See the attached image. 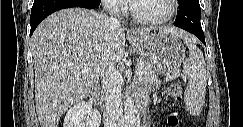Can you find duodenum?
Returning a JSON list of instances; mask_svg holds the SVG:
<instances>
[{
  "mask_svg": "<svg viewBox=\"0 0 243 127\" xmlns=\"http://www.w3.org/2000/svg\"><path fill=\"white\" fill-rule=\"evenodd\" d=\"M89 101L92 104H99L101 102V96L99 92H95L93 93L90 97H89ZM147 102V98L145 95L140 94L138 99H137V105L139 108L140 112H144L145 110V105Z\"/></svg>",
  "mask_w": 243,
  "mask_h": 127,
  "instance_id": "1",
  "label": "duodenum"
}]
</instances>
